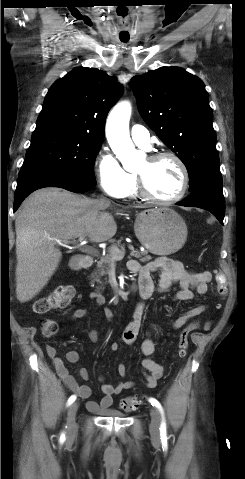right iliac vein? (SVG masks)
Returning a JSON list of instances; mask_svg holds the SVG:
<instances>
[{
	"instance_id": "obj_1",
	"label": "right iliac vein",
	"mask_w": 245,
	"mask_h": 479,
	"mask_svg": "<svg viewBox=\"0 0 245 479\" xmlns=\"http://www.w3.org/2000/svg\"><path fill=\"white\" fill-rule=\"evenodd\" d=\"M77 410H78V403H73L68 408L67 426H68V432L69 433H73L77 428V424H76V420H75Z\"/></svg>"
}]
</instances>
